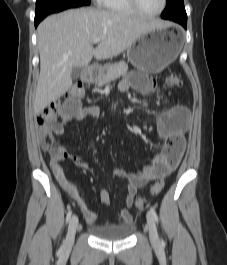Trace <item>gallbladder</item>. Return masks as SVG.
Wrapping results in <instances>:
<instances>
[{
  "label": "gallbladder",
  "mask_w": 227,
  "mask_h": 265,
  "mask_svg": "<svg viewBox=\"0 0 227 265\" xmlns=\"http://www.w3.org/2000/svg\"><path fill=\"white\" fill-rule=\"evenodd\" d=\"M82 73V68L81 67H78V66H75L72 70V79L76 80L80 77Z\"/></svg>",
  "instance_id": "obj_1"
}]
</instances>
